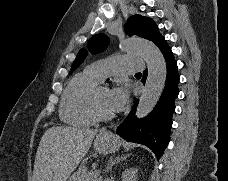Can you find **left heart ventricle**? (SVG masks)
<instances>
[{
  "label": "left heart ventricle",
  "mask_w": 228,
  "mask_h": 181,
  "mask_svg": "<svg viewBox=\"0 0 228 181\" xmlns=\"http://www.w3.org/2000/svg\"><path fill=\"white\" fill-rule=\"evenodd\" d=\"M111 92H112V89L109 88L108 86H105L98 93L100 106L104 111H107V112L112 111L110 106Z\"/></svg>",
  "instance_id": "obj_1"
}]
</instances>
